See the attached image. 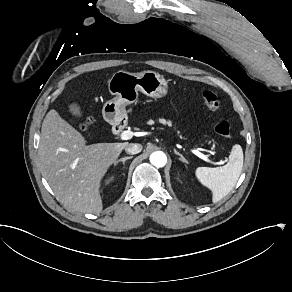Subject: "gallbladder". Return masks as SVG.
<instances>
[{
	"label": "gallbladder",
	"mask_w": 292,
	"mask_h": 292,
	"mask_svg": "<svg viewBox=\"0 0 292 292\" xmlns=\"http://www.w3.org/2000/svg\"><path fill=\"white\" fill-rule=\"evenodd\" d=\"M69 110L70 112L73 114V115H76V116H80L81 115V110H80V107L73 103L69 106Z\"/></svg>",
	"instance_id": "obj_1"
}]
</instances>
